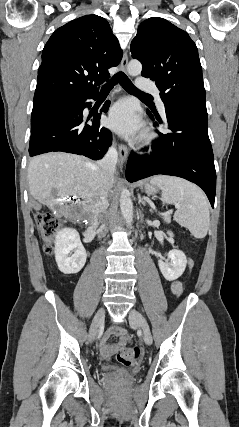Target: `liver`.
I'll list each match as a JSON object with an SVG mask.
<instances>
[{
    "mask_svg": "<svg viewBox=\"0 0 239 427\" xmlns=\"http://www.w3.org/2000/svg\"><path fill=\"white\" fill-rule=\"evenodd\" d=\"M98 164L82 156L68 153H47L30 160L28 182L30 195L52 211L64 213L69 196L82 198L84 212L92 221L96 215V202L101 191ZM114 173L108 181V191L114 184Z\"/></svg>",
    "mask_w": 239,
    "mask_h": 427,
    "instance_id": "liver-1",
    "label": "liver"
}]
</instances>
